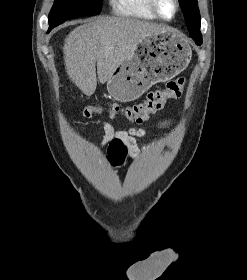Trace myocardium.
<instances>
[{"label": "myocardium", "mask_w": 247, "mask_h": 280, "mask_svg": "<svg viewBox=\"0 0 247 280\" xmlns=\"http://www.w3.org/2000/svg\"><path fill=\"white\" fill-rule=\"evenodd\" d=\"M173 2H174V5H175L174 14L170 18H166L160 12L158 0H150L151 8H152L153 12L155 13V15L159 19L164 20V21H171V20H173L177 16V14L179 12V9H180V2H179V0H173Z\"/></svg>", "instance_id": "myocardium-1"}]
</instances>
